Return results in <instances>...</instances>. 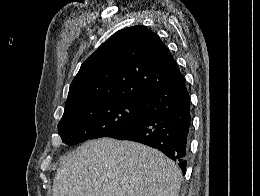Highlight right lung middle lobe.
Instances as JSON below:
<instances>
[{
  "label": "right lung middle lobe",
  "instance_id": "1",
  "mask_svg": "<svg viewBox=\"0 0 260 196\" xmlns=\"http://www.w3.org/2000/svg\"><path fill=\"white\" fill-rule=\"evenodd\" d=\"M138 101L109 95L65 107L58 129L62 142L73 145L88 139L113 137L146 118Z\"/></svg>",
  "mask_w": 260,
  "mask_h": 196
}]
</instances>
